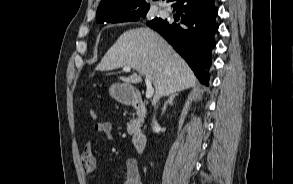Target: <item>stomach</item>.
<instances>
[{"label":"stomach","instance_id":"obj_1","mask_svg":"<svg viewBox=\"0 0 293 184\" xmlns=\"http://www.w3.org/2000/svg\"><path fill=\"white\" fill-rule=\"evenodd\" d=\"M109 93L112 98L122 104H130L134 102L139 95L137 89L127 83H115L111 85Z\"/></svg>","mask_w":293,"mask_h":184}]
</instances>
